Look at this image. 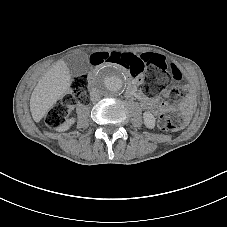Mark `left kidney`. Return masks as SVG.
<instances>
[{"mask_svg":"<svg viewBox=\"0 0 227 227\" xmlns=\"http://www.w3.org/2000/svg\"><path fill=\"white\" fill-rule=\"evenodd\" d=\"M144 122H145L147 127L152 128V127H154L155 118L152 114L145 113L144 114Z\"/></svg>","mask_w":227,"mask_h":227,"instance_id":"1","label":"left kidney"}]
</instances>
